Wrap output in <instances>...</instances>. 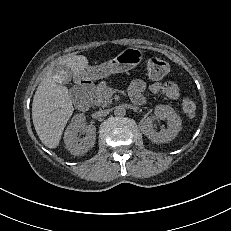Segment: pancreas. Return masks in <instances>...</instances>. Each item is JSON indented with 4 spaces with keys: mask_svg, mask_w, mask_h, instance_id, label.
I'll return each mask as SVG.
<instances>
[{
    "mask_svg": "<svg viewBox=\"0 0 231 231\" xmlns=\"http://www.w3.org/2000/svg\"><path fill=\"white\" fill-rule=\"evenodd\" d=\"M112 93L105 81H101L95 87L94 92L91 94L92 103L98 107H106L112 103Z\"/></svg>",
    "mask_w": 231,
    "mask_h": 231,
    "instance_id": "1",
    "label": "pancreas"
}]
</instances>
